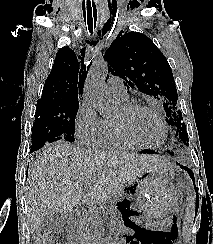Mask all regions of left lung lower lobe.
Segmentation results:
<instances>
[{
  "instance_id": "1",
  "label": "left lung lower lobe",
  "mask_w": 213,
  "mask_h": 244,
  "mask_svg": "<svg viewBox=\"0 0 213 244\" xmlns=\"http://www.w3.org/2000/svg\"><path fill=\"white\" fill-rule=\"evenodd\" d=\"M144 153L151 154L153 152L150 151V150H145ZM176 163L179 164L183 169H185L189 173L190 177L192 178V180L194 182V174H193V172L189 168L182 166L180 163H178V162H176ZM194 185H195V182H194ZM195 189H196V186H195ZM196 192H197V190H196ZM197 197L198 196L196 195V205L198 203L197 202ZM117 205H118V208L120 209V211L122 212V214H124V212L126 211V207H129V202H127V200H124L123 202H120Z\"/></svg>"
}]
</instances>
